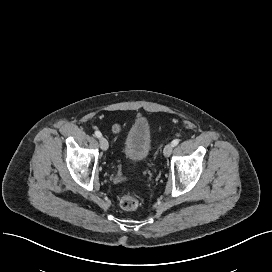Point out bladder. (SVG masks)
Listing matches in <instances>:
<instances>
[{
	"label": "bladder",
	"mask_w": 272,
	"mask_h": 272,
	"mask_svg": "<svg viewBox=\"0 0 272 272\" xmlns=\"http://www.w3.org/2000/svg\"><path fill=\"white\" fill-rule=\"evenodd\" d=\"M152 134L150 123L145 117L135 118L124 139L123 153L126 159L139 162L148 157L152 150Z\"/></svg>",
	"instance_id": "31cf9c89"
}]
</instances>
